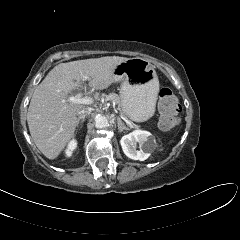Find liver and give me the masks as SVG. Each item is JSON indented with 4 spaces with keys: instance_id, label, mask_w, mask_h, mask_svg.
<instances>
[{
    "instance_id": "1",
    "label": "liver",
    "mask_w": 240,
    "mask_h": 240,
    "mask_svg": "<svg viewBox=\"0 0 240 240\" xmlns=\"http://www.w3.org/2000/svg\"><path fill=\"white\" fill-rule=\"evenodd\" d=\"M107 56L77 60L55 66L36 87L27 113L29 131L37 148L49 159H55L74 137L79 111L87 104L70 102L69 95L81 87L84 75L89 86L103 90L114 81L115 68L128 60ZM97 94L94 95V98Z\"/></svg>"
}]
</instances>
